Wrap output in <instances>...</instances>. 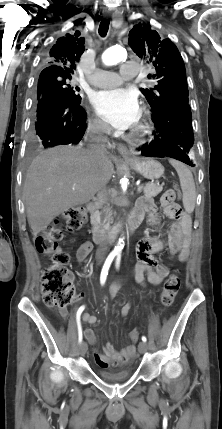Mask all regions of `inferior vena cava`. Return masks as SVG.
<instances>
[{"instance_id": "inferior-vena-cava-1", "label": "inferior vena cava", "mask_w": 222, "mask_h": 429, "mask_svg": "<svg viewBox=\"0 0 222 429\" xmlns=\"http://www.w3.org/2000/svg\"><path fill=\"white\" fill-rule=\"evenodd\" d=\"M110 132H111V127L108 124L102 122L101 120H95L89 124L88 130L85 136V141L87 143V150L90 155L92 156L101 155L106 151L105 149V143L107 141L106 135L110 134ZM106 253H107V247L105 245H101L96 252V256L98 259H103Z\"/></svg>"}]
</instances>
